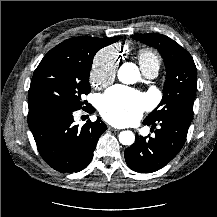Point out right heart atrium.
Returning <instances> with one entry per match:
<instances>
[{
	"instance_id": "obj_1",
	"label": "right heart atrium",
	"mask_w": 217,
	"mask_h": 217,
	"mask_svg": "<svg viewBox=\"0 0 217 217\" xmlns=\"http://www.w3.org/2000/svg\"><path fill=\"white\" fill-rule=\"evenodd\" d=\"M118 59L117 51L113 47L100 50L93 60L90 71L91 82L100 88L109 86L114 81Z\"/></svg>"
}]
</instances>
